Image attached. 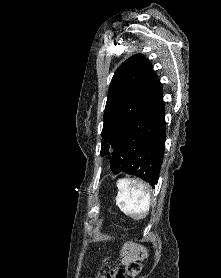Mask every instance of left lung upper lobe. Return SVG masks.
Listing matches in <instances>:
<instances>
[{
  "label": "left lung upper lobe",
  "mask_w": 221,
  "mask_h": 278,
  "mask_svg": "<svg viewBox=\"0 0 221 278\" xmlns=\"http://www.w3.org/2000/svg\"><path fill=\"white\" fill-rule=\"evenodd\" d=\"M159 86L152 64L142 54L131 56L119 66L112 78L104 111L102 156L112 153Z\"/></svg>",
  "instance_id": "5c2ea615"
}]
</instances>
